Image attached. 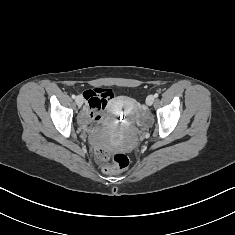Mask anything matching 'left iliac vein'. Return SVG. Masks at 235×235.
<instances>
[{"label":"left iliac vein","mask_w":235,"mask_h":235,"mask_svg":"<svg viewBox=\"0 0 235 235\" xmlns=\"http://www.w3.org/2000/svg\"><path fill=\"white\" fill-rule=\"evenodd\" d=\"M154 100H155V97L153 95H149L147 98H146V104L148 106H151L153 103H154Z\"/></svg>","instance_id":"4c4485c4"}]
</instances>
